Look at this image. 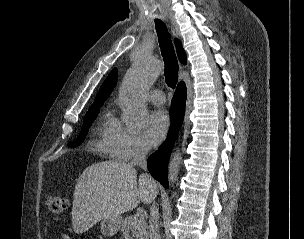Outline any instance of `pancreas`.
Returning a JSON list of instances; mask_svg holds the SVG:
<instances>
[{
	"mask_svg": "<svg viewBox=\"0 0 304 239\" xmlns=\"http://www.w3.org/2000/svg\"><path fill=\"white\" fill-rule=\"evenodd\" d=\"M148 226L143 216H129L122 222L124 239H148Z\"/></svg>",
	"mask_w": 304,
	"mask_h": 239,
	"instance_id": "obj_1",
	"label": "pancreas"
}]
</instances>
